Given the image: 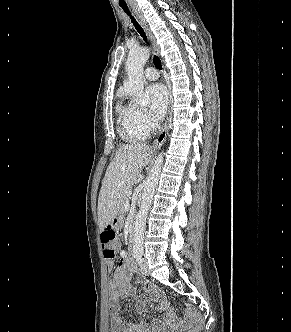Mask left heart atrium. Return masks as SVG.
Instances as JSON below:
<instances>
[{
    "instance_id": "39dd6f15",
    "label": "left heart atrium",
    "mask_w": 291,
    "mask_h": 332,
    "mask_svg": "<svg viewBox=\"0 0 291 332\" xmlns=\"http://www.w3.org/2000/svg\"><path fill=\"white\" fill-rule=\"evenodd\" d=\"M149 98V115L152 120L160 121L164 117L168 106V93L162 84L156 83L146 89Z\"/></svg>"
}]
</instances>
